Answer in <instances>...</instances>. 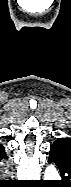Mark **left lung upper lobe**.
<instances>
[{"mask_svg": "<svg viewBox=\"0 0 71 187\" xmlns=\"http://www.w3.org/2000/svg\"><path fill=\"white\" fill-rule=\"evenodd\" d=\"M52 146L60 147L71 153V138H57Z\"/></svg>", "mask_w": 71, "mask_h": 187, "instance_id": "obj_1", "label": "left lung upper lobe"}]
</instances>
